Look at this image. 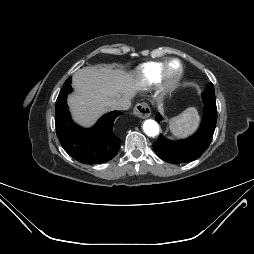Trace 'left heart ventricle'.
Segmentation results:
<instances>
[{"label": "left heart ventricle", "mask_w": 254, "mask_h": 254, "mask_svg": "<svg viewBox=\"0 0 254 254\" xmlns=\"http://www.w3.org/2000/svg\"><path fill=\"white\" fill-rule=\"evenodd\" d=\"M177 69H178V65H177V64H173V65L171 66V73H172V74L176 73V72H177Z\"/></svg>", "instance_id": "obj_1"}]
</instances>
